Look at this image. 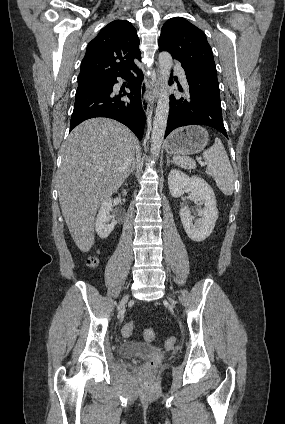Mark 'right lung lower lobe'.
I'll use <instances>...</instances> for the list:
<instances>
[{
	"instance_id": "obj_1",
	"label": "right lung lower lobe",
	"mask_w": 285,
	"mask_h": 424,
	"mask_svg": "<svg viewBox=\"0 0 285 424\" xmlns=\"http://www.w3.org/2000/svg\"><path fill=\"white\" fill-rule=\"evenodd\" d=\"M133 71L137 77H134L131 72L120 76L130 80L129 93H114L113 86L118 83L117 77L107 81L79 85L75 95L70 131L87 119L107 117L129 127L141 140L146 119L140 96L143 74L138 68ZM123 96H127L130 102L122 101L121 97Z\"/></svg>"
}]
</instances>
